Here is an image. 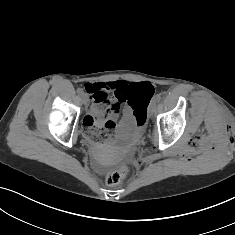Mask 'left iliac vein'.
I'll return each instance as SVG.
<instances>
[{
  "mask_svg": "<svg viewBox=\"0 0 235 235\" xmlns=\"http://www.w3.org/2000/svg\"><path fill=\"white\" fill-rule=\"evenodd\" d=\"M156 112V101H152L149 106V114L153 115Z\"/></svg>",
  "mask_w": 235,
  "mask_h": 235,
  "instance_id": "obj_1",
  "label": "left iliac vein"
}]
</instances>
